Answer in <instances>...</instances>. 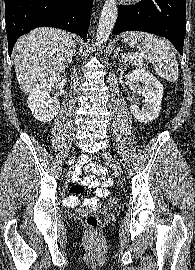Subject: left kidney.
Here are the masks:
<instances>
[{
    "mask_svg": "<svg viewBox=\"0 0 195 270\" xmlns=\"http://www.w3.org/2000/svg\"><path fill=\"white\" fill-rule=\"evenodd\" d=\"M134 90L144 97V107L131 105L132 115L140 122L147 123L158 117L163 97V85L157 78L145 69H135L126 75ZM142 83V85H140Z\"/></svg>",
    "mask_w": 195,
    "mask_h": 270,
    "instance_id": "left-kidney-1",
    "label": "left kidney"
}]
</instances>
